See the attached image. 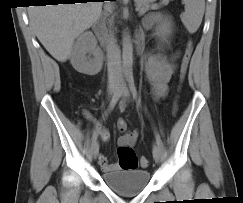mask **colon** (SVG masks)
Returning a JSON list of instances; mask_svg holds the SVG:
<instances>
[{"instance_id": "1", "label": "colon", "mask_w": 243, "mask_h": 203, "mask_svg": "<svg viewBox=\"0 0 243 203\" xmlns=\"http://www.w3.org/2000/svg\"><path fill=\"white\" fill-rule=\"evenodd\" d=\"M193 53V44L191 41L187 43L186 50L182 57V62L180 65L179 77L180 81H183L190 64V60ZM117 156L119 160V166L122 170H135L137 169L139 163L142 167H147L149 162L147 158L143 157L138 161L137 156L131 146L120 145L117 149Z\"/></svg>"}]
</instances>
